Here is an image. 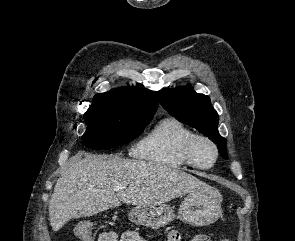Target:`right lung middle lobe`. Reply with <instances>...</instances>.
Segmentation results:
<instances>
[{
    "label": "right lung middle lobe",
    "mask_w": 295,
    "mask_h": 241,
    "mask_svg": "<svg viewBox=\"0 0 295 241\" xmlns=\"http://www.w3.org/2000/svg\"><path fill=\"white\" fill-rule=\"evenodd\" d=\"M153 116L119 100L95 96L84 114L87 130L82 137L83 143L92 149L122 145L141 135Z\"/></svg>",
    "instance_id": "obj_1"
}]
</instances>
